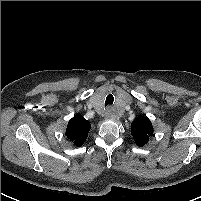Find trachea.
Listing matches in <instances>:
<instances>
[{
  "mask_svg": "<svg viewBox=\"0 0 201 201\" xmlns=\"http://www.w3.org/2000/svg\"><path fill=\"white\" fill-rule=\"evenodd\" d=\"M114 102V97L112 94H108L105 100V106L112 105Z\"/></svg>",
  "mask_w": 201,
  "mask_h": 201,
  "instance_id": "trachea-1",
  "label": "trachea"
}]
</instances>
